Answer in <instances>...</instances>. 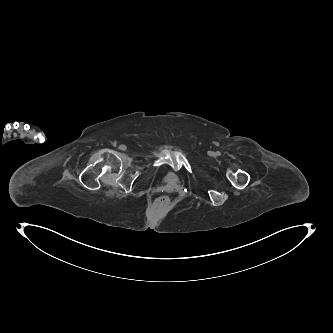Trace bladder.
<instances>
[{
  "mask_svg": "<svg viewBox=\"0 0 333 333\" xmlns=\"http://www.w3.org/2000/svg\"><path fill=\"white\" fill-rule=\"evenodd\" d=\"M163 176L166 184L170 186L176 185L181 179L180 173L173 169L165 170Z\"/></svg>",
  "mask_w": 333,
  "mask_h": 333,
  "instance_id": "obj_1",
  "label": "bladder"
}]
</instances>
